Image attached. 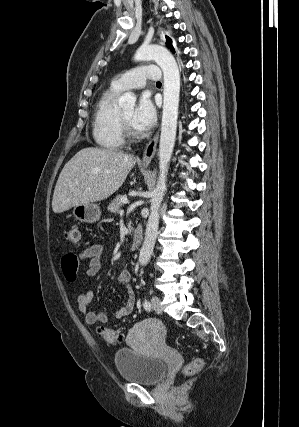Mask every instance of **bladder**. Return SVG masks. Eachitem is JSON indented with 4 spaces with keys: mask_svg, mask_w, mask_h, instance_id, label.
<instances>
[{
    "mask_svg": "<svg viewBox=\"0 0 299 427\" xmlns=\"http://www.w3.org/2000/svg\"><path fill=\"white\" fill-rule=\"evenodd\" d=\"M114 362L120 377L136 384L154 385L167 374L165 362L128 348L117 350Z\"/></svg>",
    "mask_w": 299,
    "mask_h": 427,
    "instance_id": "obj_1",
    "label": "bladder"
}]
</instances>
